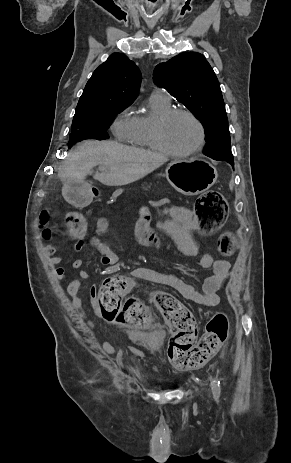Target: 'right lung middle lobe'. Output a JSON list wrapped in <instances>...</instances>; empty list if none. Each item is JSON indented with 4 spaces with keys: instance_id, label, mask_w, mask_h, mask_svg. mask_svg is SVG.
<instances>
[{
    "instance_id": "dd1d6c3e",
    "label": "right lung middle lobe",
    "mask_w": 291,
    "mask_h": 463,
    "mask_svg": "<svg viewBox=\"0 0 291 463\" xmlns=\"http://www.w3.org/2000/svg\"><path fill=\"white\" fill-rule=\"evenodd\" d=\"M129 105L131 103L106 102L93 111L74 115L68 147L86 139H107L113 119Z\"/></svg>"
}]
</instances>
